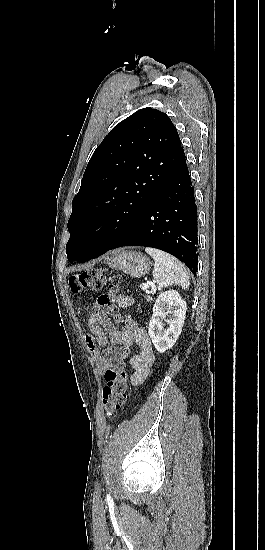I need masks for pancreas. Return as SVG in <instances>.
I'll list each match as a JSON object with an SVG mask.
<instances>
[{"label": "pancreas", "mask_w": 265, "mask_h": 550, "mask_svg": "<svg viewBox=\"0 0 265 550\" xmlns=\"http://www.w3.org/2000/svg\"><path fill=\"white\" fill-rule=\"evenodd\" d=\"M146 300H147V302H151L153 300V298L151 296H148Z\"/></svg>", "instance_id": "pancreas-1"}]
</instances>
